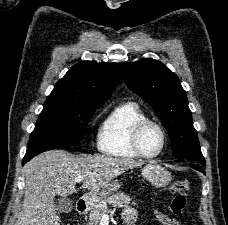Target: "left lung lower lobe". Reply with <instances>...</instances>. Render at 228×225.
I'll use <instances>...</instances> for the list:
<instances>
[{"instance_id": "0a47b994", "label": "left lung lower lobe", "mask_w": 228, "mask_h": 225, "mask_svg": "<svg viewBox=\"0 0 228 225\" xmlns=\"http://www.w3.org/2000/svg\"><path fill=\"white\" fill-rule=\"evenodd\" d=\"M192 167H193L194 169H196V170H198V171L204 173V171H203V169H202V165H194V166H192Z\"/></svg>"}]
</instances>
